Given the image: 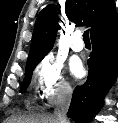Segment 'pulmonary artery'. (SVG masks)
<instances>
[{"mask_svg":"<svg viewBox=\"0 0 118 123\" xmlns=\"http://www.w3.org/2000/svg\"><path fill=\"white\" fill-rule=\"evenodd\" d=\"M70 47L75 52H81L84 49V43L81 39V34L76 32L71 40Z\"/></svg>","mask_w":118,"mask_h":123,"instance_id":"pulmonary-artery-1","label":"pulmonary artery"}]
</instances>
